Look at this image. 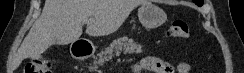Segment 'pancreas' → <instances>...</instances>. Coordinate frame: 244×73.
<instances>
[{
	"label": "pancreas",
	"mask_w": 244,
	"mask_h": 73,
	"mask_svg": "<svg viewBox=\"0 0 244 73\" xmlns=\"http://www.w3.org/2000/svg\"><path fill=\"white\" fill-rule=\"evenodd\" d=\"M142 46L134 42L132 39L128 37H122L114 40L107 48L102 50L97 54L95 59V66H102L104 63L108 62L114 55H119L120 53H141Z\"/></svg>",
	"instance_id": "obj_1"
}]
</instances>
